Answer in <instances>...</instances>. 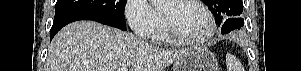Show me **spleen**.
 Returning <instances> with one entry per match:
<instances>
[{
  "label": "spleen",
  "mask_w": 301,
  "mask_h": 71,
  "mask_svg": "<svg viewBox=\"0 0 301 71\" xmlns=\"http://www.w3.org/2000/svg\"><path fill=\"white\" fill-rule=\"evenodd\" d=\"M227 71H244L241 63L230 53L226 56Z\"/></svg>",
  "instance_id": "obj_1"
}]
</instances>
